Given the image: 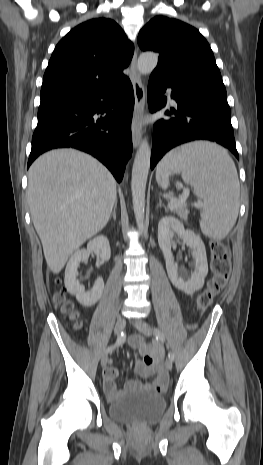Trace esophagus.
<instances>
[{
    "label": "esophagus",
    "instance_id": "obj_1",
    "mask_svg": "<svg viewBox=\"0 0 263 465\" xmlns=\"http://www.w3.org/2000/svg\"><path fill=\"white\" fill-rule=\"evenodd\" d=\"M130 80L134 89L135 105L132 120V142L134 148H137L141 141V120L145 106V90L141 82L140 73L137 67V50L133 55L130 65Z\"/></svg>",
    "mask_w": 263,
    "mask_h": 465
}]
</instances>
